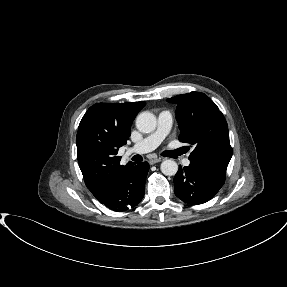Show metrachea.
<instances>
[{"label": "trachea", "mask_w": 287, "mask_h": 287, "mask_svg": "<svg viewBox=\"0 0 287 287\" xmlns=\"http://www.w3.org/2000/svg\"><path fill=\"white\" fill-rule=\"evenodd\" d=\"M133 160L139 162V161H142V157L140 155H135L133 157Z\"/></svg>", "instance_id": "obj_1"}]
</instances>
